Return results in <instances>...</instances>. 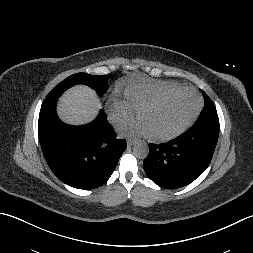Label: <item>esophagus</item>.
<instances>
[{"mask_svg": "<svg viewBox=\"0 0 253 253\" xmlns=\"http://www.w3.org/2000/svg\"><path fill=\"white\" fill-rule=\"evenodd\" d=\"M136 140H133V139H128L127 140V145L128 146H132L133 144H135Z\"/></svg>", "mask_w": 253, "mask_h": 253, "instance_id": "1", "label": "esophagus"}]
</instances>
